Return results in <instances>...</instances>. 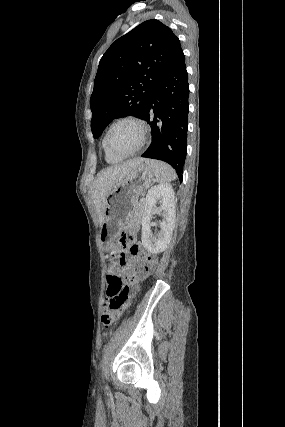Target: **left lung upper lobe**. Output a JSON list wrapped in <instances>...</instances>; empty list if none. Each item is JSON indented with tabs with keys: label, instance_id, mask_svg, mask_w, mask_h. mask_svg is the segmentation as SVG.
Wrapping results in <instances>:
<instances>
[{
	"label": "left lung upper lobe",
	"instance_id": "obj_1",
	"mask_svg": "<svg viewBox=\"0 0 285 427\" xmlns=\"http://www.w3.org/2000/svg\"><path fill=\"white\" fill-rule=\"evenodd\" d=\"M181 51L172 30L155 19L117 39L101 58L94 80L90 99L94 138L115 118H142L157 84Z\"/></svg>",
	"mask_w": 285,
	"mask_h": 427
}]
</instances>
